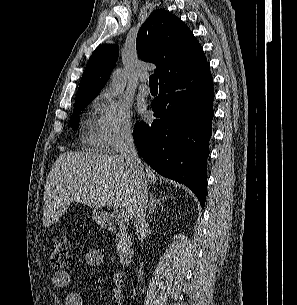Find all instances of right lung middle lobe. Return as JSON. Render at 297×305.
<instances>
[{"mask_svg":"<svg viewBox=\"0 0 297 305\" xmlns=\"http://www.w3.org/2000/svg\"><path fill=\"white\" fill-rule=\"evenodd\" d=\"M95 96L87 97L78 101H75L74 105V115L71 118V126L73 130H77L79 127V119L80 116L77 114L80 110L85 108L90 101L94 98Z\"/></svg>","mask_w":297,"mask_h":305,"instance_id":"right-lung-middle-lobe-1","label":"right lung middle lobe"}]
</instances>
